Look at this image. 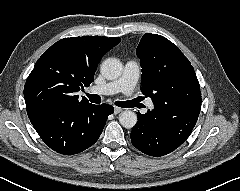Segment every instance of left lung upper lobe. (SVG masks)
Instances as JSON below:
<instances>
[{
	"mask_svg": "<svg viewBox=\"0 0 240 191\" xmlns=\"http://www.w3.org/2000/svg\"><path fill=\"white\" fill-rule=\"evenodd\" d=\"M142 67L141 91L154 103V112L175 116L193 107L200 111L201 92L193 66L165 37L146 33L137 47Z\"/></svg>",
	"mask_w": 240,
	"mask_h": 191,
	"instance_id": "left-lung-upper-lobe-1",
	"label": "left lung upper lobe"
}]
</instances>
